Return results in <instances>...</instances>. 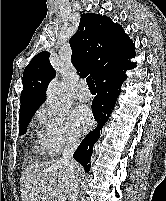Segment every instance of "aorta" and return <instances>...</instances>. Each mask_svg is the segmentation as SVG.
<instances>
[{
    "label": "aorta",
    "instance_id": "aorta-1",
    "mask_svg": "<svg viewBox=\"0 0 166 201\" xmlns=\"http://www.w3.org/2000/svg\"><path fill=\"white\" fill-rule=\"evenodd\" d=\"M47 101L52 106H60L63 101V93L58 81H53L47 89Z\"/></svg>",
    "mask_w": 166,
    "mask_h": 201
}]
</instances>
